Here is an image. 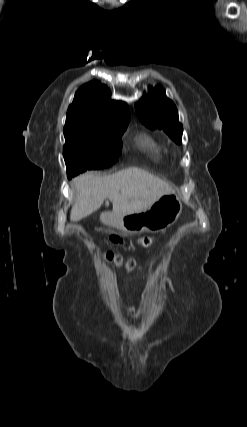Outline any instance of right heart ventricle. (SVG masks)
Here are the masks:
<instances>
[{"mask_svg":"<svg viewBox=\"0 0 247 427\" xmlns=\"http://www.w3.org/2000/svg\"><path fill=\"white\" fill-rule=\"evenodd\" d=\"M138 145L155 160H159L167 154V151L161 144L147 135H143L139 138Z\"/></svg>","mask_w":247,"mask_h":427,"instance_id":"right-heart-ventricle-1","label":"right heart ventricle"}]
</instances>
